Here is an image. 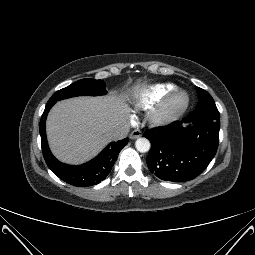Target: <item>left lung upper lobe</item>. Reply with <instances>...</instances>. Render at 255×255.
<instances>
[{
	"label": "left lung upper lobe",
	"instance_id": "obj_1",
	"mask_svg": "<svg viewBox=\"0 0 255 255\" xmlns=\"http://www.w3.org/2000/svg\"><path fill=\"white\" fill-rule=\"evenodd\" d=\"M197 92L199 102L196 109L189 115L188 118L191 120L220 119L219 111L211 95L199 87L197 88Z\"/></svg>",
	"mask_w": 255,
	"mask_h": 255
}]
</instances>
